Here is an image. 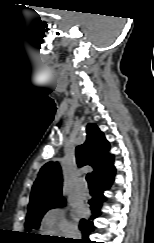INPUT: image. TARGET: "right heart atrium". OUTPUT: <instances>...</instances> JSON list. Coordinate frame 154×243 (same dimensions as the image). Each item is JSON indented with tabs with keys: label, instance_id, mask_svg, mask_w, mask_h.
Wrapping results in <instances>:
<instances>
[{
	"label": "right heart atrium",
	"instance_id": "right-heart-atrium-1",
	"mask_svg": "<svg viewBox=\"0 0 154 243\" xmlns=\"http://www.w3.org/2000/svg\"><path fill=\"white\" fill-rule=\"evenodd\" d=\"M42 230L48 234L71 235L75 227L65 217L61 208H54L46 212L41 221Z\"/></svg>",
	"mask_w": 154,
	"mask_h": 243
}]
</instances>
